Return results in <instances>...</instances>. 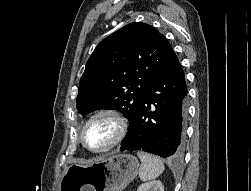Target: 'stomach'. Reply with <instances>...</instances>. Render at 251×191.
I'll return each instance as SVG.
<instances>
[{"instance_id":"0dacf381","label":"stomach","mask_w":251,"mask_h":191,"mask_svg":"<svg viewBox=\"0 0 251 191\" xmlns=\"http://www.w3.org/2000/svg\"><path fill=\"white\" fill-rule=\"evenodd\" d=\"M139 171V161L130 153H109L93 163L67 167L59 191H121Z\"/></svg>"}]
</instances>
